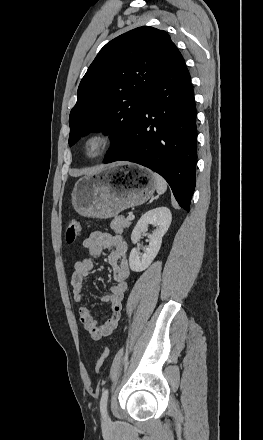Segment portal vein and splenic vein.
<instances>
[{
  "instance_id": "portal-vein-and-splenic-vein-1",
  "label": "portal vein and splenic vein",
  "mask_w": 263,
  "mask_h": 440,
  "mask_svg": "<svg viewBox=\"0 0 263 440\" xmlns=\"http://www.w3.org/2000/svg\"><path fill=\"white\" fill-rule=\"evenodd\" d=\"M134 214L133 213H130L128 216H127V220L128 221H132L133 219H134Z\"/></svg>"
}]
</instances>
